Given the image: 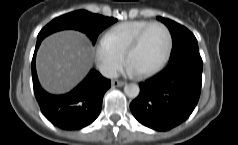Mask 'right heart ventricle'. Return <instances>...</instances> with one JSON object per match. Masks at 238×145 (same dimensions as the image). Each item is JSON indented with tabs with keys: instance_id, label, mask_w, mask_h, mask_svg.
I'll return each mask as SVG.
<instances>
[{
	"instance_id": "obj_1",
	"label": "right heart ventricle",
	"mask_w": 238,
	"mask_h": 145,
	"mask_svg": "<svg viewBox=\"0 0 238 145\" xmlns=\"http://www.w3.org/2000/svg\"><path fill=\"white\" fill-rule=\"evenodd\" d=\"M150 23L149 20H132L117 24L104 34L103 40L124 55L136 35Z\"/></svg>"
}]
</instances>
